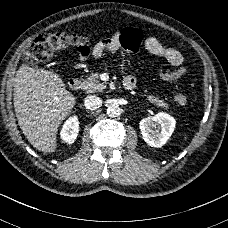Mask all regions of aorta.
Masks as SVG:
<instances>
[{
  "label": "aorta",
  "mask_w": 228,
  "mask_h": 228,
  "mask_svg": "<svg viewBox=\"0 0 228 228\" xmlns=\"http://www.w3.org/2000/svg\"><path fill=\"white\" fill-rule=\"evenodd\" d=\"M121 114H122V109L116 104L109 106L107 109V115L109 117L116 118Z\"/></svg>",
  "instance_id": "1"
}]
</instances>
